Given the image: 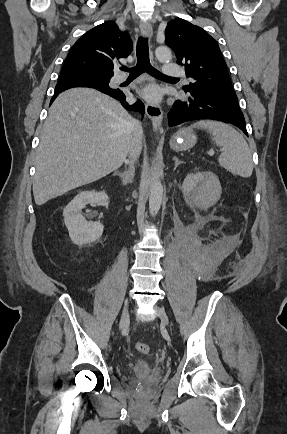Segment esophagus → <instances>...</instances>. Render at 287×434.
I'll return each mask as SVG.
<instances>
[{"label":"esophagus","instance_id":"34e87169","mask_svg":"<svg viewBox=\"0 0 287 434\" xmlns=\"http://www.w3.org/2000/svg\"><path fill=\"white\" fill-rule=\"evenodd\" d=\"M140 30L143 36L152 39L153 29L150 23L145 21L141 22ZM145 111L148 118L152 121L154 131H158L161 128L162 118H163V111L161 107L158 104L146 103Z\"/></svg>","mask_w":287,"mask_h":434}]
</instances>
